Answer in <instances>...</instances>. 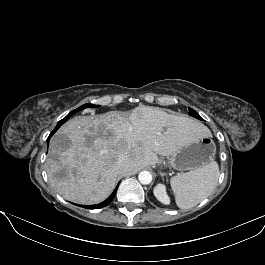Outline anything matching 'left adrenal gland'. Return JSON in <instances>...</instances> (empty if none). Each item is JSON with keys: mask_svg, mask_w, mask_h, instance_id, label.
<instances>
[{"mask_svg": "<svg viewBox=\"0 0 265 265\" xmlns=\"http://www.w3.org/2000/svg\"><path fill=\"white\" fill-rule=\"evenodd\" d=\"M161 176H164L165 174L164 173H160Z\"/></svg>", "mask_w": 265, "mask_h": 265, "instance_id": "a2214340", "label": "left adrenal gland"}]
</instances>
